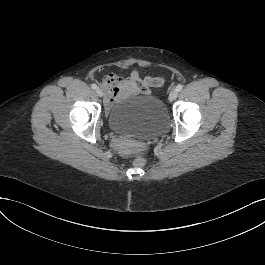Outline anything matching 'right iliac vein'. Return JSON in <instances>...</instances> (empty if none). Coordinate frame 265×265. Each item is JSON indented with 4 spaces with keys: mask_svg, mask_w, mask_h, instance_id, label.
I'll return each mask as SVG.
<instances>
[{
    "mask_svg": "<svg viewBox=\"0 0 265 265\" xmlns=\"http://www.w3.org/2000/svg\"><path fill=\"white\" fill-rule=\"evenodd\" d=\"M96 94H97L99 97H102V96H103V91H102L100 88H97V89H96Z\"/></svg>",
    "mask_w": 265,
    "mask_h": 265,
    "instance_id": "right-iliac-vein-1",
    "label": "right iliac vein"
}]
</instances>
